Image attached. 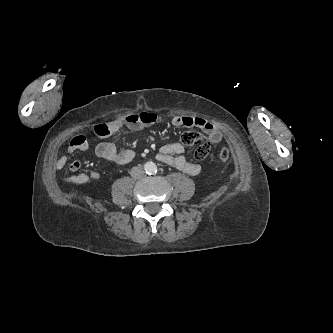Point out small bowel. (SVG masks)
<instances>
[{
	"mask_svg": "<svg viewBox=\"0 0 333 333\" xmlns=\"http://www.w3.org/2000/svg\"><path fill=\"white\" fill-rule=\"evenodd\" d=\"M157 119L154 113L142 112L139 114H130L123 119H117L111 121L108 126L111 130V134L108 137H113L121 128L128 127L130 129H142L144 127L152 125ZM172 124L176 127H197L205 132L208 140L211 143H218L222 140L223 134L220 128H218L212 122L199 117L192 116H174L172 118ZM92 141L83 135L73 137L68 145L66 154L60 156L56 161V168H63L68 162V156L75 151H85L90 147ZM185 148L181 143L170 142L163 145L160 149V153L157 155V159L165 164L173 166L188 175L196 176L200 173L201 167L198 164L189 162L184 156ZM95 153L100 158L107 162H111L117 165H125L131 162L135 156V153L131 149L118 150L115 143L111 139L101 141L95 146ZM81 167V162L75 160L70 163L69 170L76 172ZM99 173L93 171L90 175L79 174L70 178V182L74 185H82L86 183L90 178L98 179Z\"/></svg>",
	"mask_w": 333,
	"mask_h": 333,
	"instance_id": "1",
	"label": "small bowel"
}]
</instances>
